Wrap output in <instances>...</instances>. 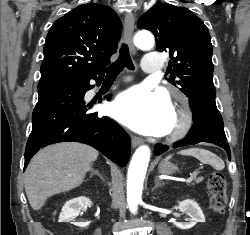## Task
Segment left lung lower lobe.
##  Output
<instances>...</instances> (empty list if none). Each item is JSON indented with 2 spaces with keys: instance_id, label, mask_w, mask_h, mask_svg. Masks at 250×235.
I'll return each instance as SVG.
<instances>
[{
  "instance_id": "left-lung-lower-lobe-1",
  "label": "left lung lower lobe",
  "mask_w": 250,
  "mask_h": 235,
  "mask_svg": "<svg viewBox=\"0 0 250 235\" xmlns=\"http://www.w3.org/2000/svg\"><path fill=\"white\" fill-rule=\"evenodd\" d=\"M215 95V91H206L189 97L193 109V120L195 121L194 127L190 130L192 136L186 141L177 142L173 146L174 148L199 142H211L225 149L229 159L231 158L230 147L224 132L223 119L216 107ZM167 149L166 146L159 144L156 145L154 153L160 155Z\"/></svg>"
}]
</instances>
